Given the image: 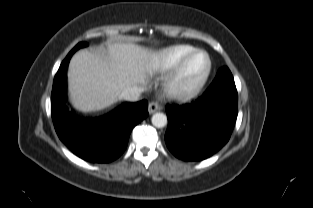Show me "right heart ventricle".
I'll list each match as a JSON object with an SVG mask.
<instances>
[{
    "instance_id": "1",
    "label": "right heart ventricle",
    "mask_w": 313,
    "mask_h": 208,
    "mask_svg": "<svg viewBox=\"0 0 313 208\" xmlns=\"http://www.w3.org/2000/svg\"><path fill=\"white\" fill-rule=\"evenodd\" d=\"M195 48L189 45H174L159 51L153 57L151 71L158 74L170 73Z\"/></svg>"
}]
</instances>
